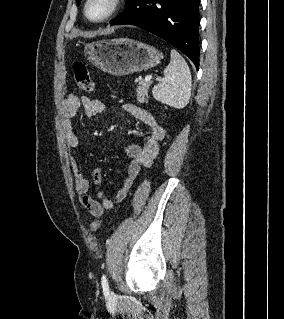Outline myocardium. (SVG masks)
Wrapping results in <instances>:
<instances>
[{"label":"myocardium","mask_w":284,"mask_h":319,"mask_svg":"<svg viewBox=\"0 0 284 319\" xmlns=\"http://www.w3.org/2000/svg\"><path fill=\"white\" fill-rule=\"evenodd\" d=\"M91 0H85L84 3V15L86 17V19L92 23H103L106 22L108 20H110L111 18H113L118 11L120 10L123 0H110V7L108 12L101 18L99 19H93L90 17L89 13H88V6L90 4Z\"/></svg>","instance_id":"1"}]
</instances>
